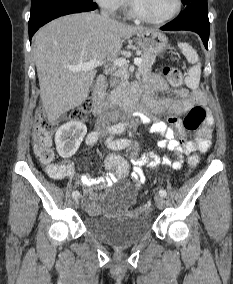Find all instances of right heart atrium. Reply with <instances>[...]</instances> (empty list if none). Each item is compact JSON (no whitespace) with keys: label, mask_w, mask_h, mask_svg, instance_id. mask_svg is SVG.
Listing matches in <instances>:
<instances>
[{"label":"right heart atrium","mask_w":233,"mask_h":284,"mask_svg":"<svg viewBox=\"0 0 233 284\" xmlns=\"http://www.w3.org/2000/svg\"><path fill=\"white\" fill-rule=\"evenodd\" d=\"M103 9L109 12L117 11L126 4V0H95Z\"/></svg>","instance_id":"d8ad5b80"}]
</instances>
